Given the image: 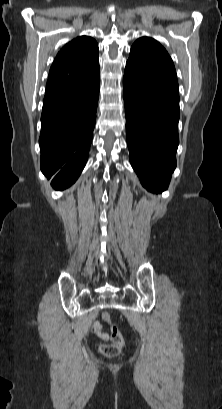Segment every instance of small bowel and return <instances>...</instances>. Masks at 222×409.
I'll return each instance as SVG.
<instances>
[{"instance_id": "1", "label": "small bowel", "mask_w": 222, "mask_h": 409, "mask_svg": "<svg viewBox=\"0 0 222 409\" xmlns=\"http://www.w3.org/2000/svg\"><path fill=\"white\" fill-rule=\"evenodd\" d=\"M93 330L99 339L104 340V341L109 339V335L103 332L102 324L100 322L93 323Z\"/></svg>"}]
</instances>
